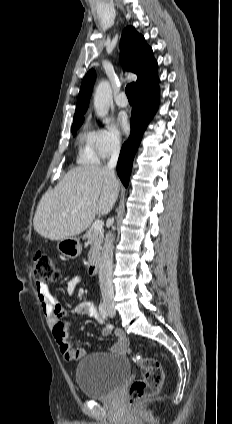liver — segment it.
<instances>
[{"label": "liver", "instance_id": "obj_1", "mask_svg": "<svg viewBox=\"0 0 232 424\" xmlns=\"http://www.w3.org/2000/svg\"><path fill=\"white\" fill-rule=\"evenodd\" d=\"M119 193L104 167L86 165L71 169L57 186L41 198L33 219L42 237L60 241L85 231L96 215H107Z\"/></svg>", "mask_w": 232, "mask_h": 424}]
</instances>
